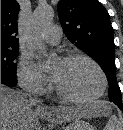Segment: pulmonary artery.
I'll return each instance as SVG.
<instances>
[{"mask_svg":"<svg viewBox=\"0 0 123 130\" xmlns=\"http://www.w3.org/2000/svg\"><path fill=\"white\" fill-rule=\"evenodd\" d=\"M45 41L50 45H57L61 40V30L57 26H51L44 35Z\"/></svg>","mask_w":123,"mask_h":130,"instance_id":"e3ab8cb5","label":"pulmonary artery"}]
</instances>
